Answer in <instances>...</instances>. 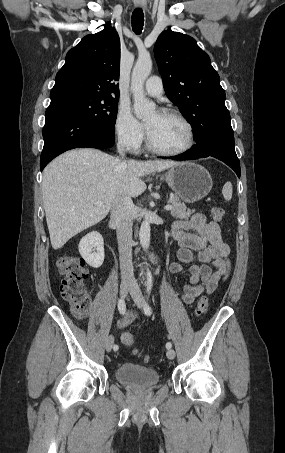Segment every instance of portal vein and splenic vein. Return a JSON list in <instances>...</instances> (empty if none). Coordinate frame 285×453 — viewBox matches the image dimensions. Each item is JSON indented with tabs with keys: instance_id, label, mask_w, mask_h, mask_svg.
I'll use <instances>...</instances> for the list:
<instances>
[{
	"instance_id": "obj_1",
	"label": "portal vein and splenic vein",
	"mask_w": 285,
	"mask_h": 453,
	"mask_svg": "<svg viewBox=\"0 0 285 453\" xmlns=\"http://www.w3.org/2000/svg\"><path fill=\"white\" fill-rule=\"evenodd\" d=\"M172 208H173V206L170 205V204H168V205L165 206V210H171Z\"/></svg>"
}]
</instances>
